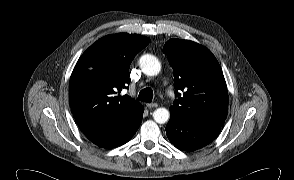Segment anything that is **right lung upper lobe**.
<instances>
[{
    "label": "right lung upper lobe",
    "instance_id": "1",
    "mask_svg": "<svg viewBox=\"0 0 294 180\" xmlns=\"http://www.w3.org/2000/svg\"><path fill=\"white\" fill-rule=\"evenodd\" d=\"M150 39L137 34L107 35L79 58L70 78L69 100L83 130L109 128L139 102L120 93L130 82L129 67Z\"/></svg>",
    "mask_w": 294,
    "mask_h": 180
}]
</instances>
